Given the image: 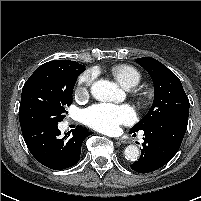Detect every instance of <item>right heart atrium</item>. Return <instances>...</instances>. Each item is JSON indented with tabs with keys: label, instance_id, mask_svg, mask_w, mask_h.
Segmentation results:
<instances>
[{
	"label": "right heart atrium",
	"instance_id": "obj_1",
	"mask_svg": "<svg viewBox=\"0 0 201 201\" xmlns=\"http://www.w3.org/2000/svg\"><path fill=\"white\" fill-rule=\"evenodd\" d=\"M94 70H87L82 73L77 80L75 95L78 98H86L89 95L91 84L95 78Z\"/></svg>",
	"mask_w": 201,
	"mask_h": 201
}]
</instances>
